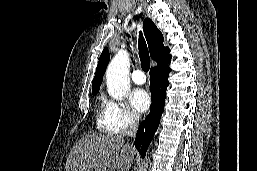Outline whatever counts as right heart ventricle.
<instances>
[{
	"instance_id": "right-heart-ventricle-1",
	"label": "right heart ventricle",
	"mask_w": 257,
	"mask_h": 171,
	"mask_svg": "<svg viewBox=\"0 0 257 171\" xmlns=\"http://www.w3.org/2000/svg\"><path fill=\"white\" fill-rule=\"evenodd\" d=\"M96 125L99 131L104 133H116L115 130H113L105 116L104 108L103 106L100 107L97 116H96Z\"/></svg>"
}]
</instances>
